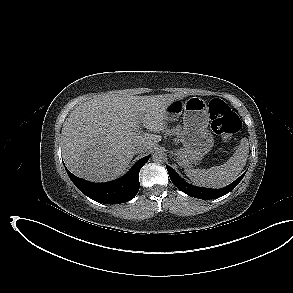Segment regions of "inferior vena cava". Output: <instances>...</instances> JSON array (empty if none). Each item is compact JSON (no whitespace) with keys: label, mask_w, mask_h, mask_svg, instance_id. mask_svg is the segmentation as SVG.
<instances>
[{"label":"inferior vena cava","mask_w":293,"mask_h":293,"mask_svg":"<svg viewBox=\"0 0 293 293\" xmlns=\"http://www.w3.org/2000/svg\"><path fill=\"white\" fill-rule=\"evenodd\" d=\"M143 149H144L143 146H137V147L134 149V152H135V154H136V153H140Z\"/></svg>","instance_id":"602c4592"}]
</instances>
